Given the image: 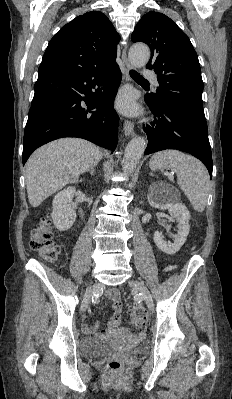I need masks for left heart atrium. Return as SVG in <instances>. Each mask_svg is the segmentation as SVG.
<instances>
[{"label":"left heart atrium","mask_w":232,"mask_h":399,"mask_svg":"<svg viewBox=\"0 0 232 399\" xmlns=\"http://www.w3.org/2000/svg\"><path fill=\"white\" fill-rule=\"evenodd\" d=\"M117 106L122 113L127 115H133L137 112V106L131 92H123L118 99Z\"/></svg>","instance_id":"39dd6f15"}]
</instances>
